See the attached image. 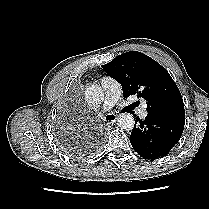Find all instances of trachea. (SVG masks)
<instances>
[{
    "label": "trachea",
    "instance_id": "1",
    "mask_svg": "<svg viewBox=\"0 0 209 209\" xmlns=\"http://www.w3.org/2000/svg\"><path fill=\"white\" fill-rule=\"evenodd\" d=\"M106 120H111L108 116L106 117Z\"/></svg>",
    "mask_w": 209,
    "mask_h": 209
}]
</instances>
